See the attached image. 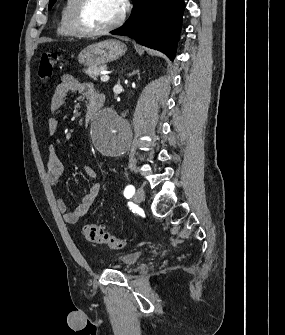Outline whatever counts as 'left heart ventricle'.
Returning <instances> with one entry per match:
<instances>
[{
	"instance_id": "left-heart-ventricle-1",
	"label": "left heart ventricle",
	"mask_w": 285,
	"mask_h": 335,
	"mask_svg": "<svg viewBox=\"0 0 285 335\" xmlns=\"http://www.w3.org/2000/svg\"><path fill=\"white\" fill-rule=\"evenodd\" d=\"M119 1H91L84 12L85 23L100 29L110 24L118 14Z\"/></svg>"
}]
</instances>
